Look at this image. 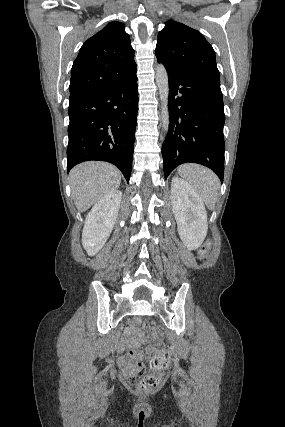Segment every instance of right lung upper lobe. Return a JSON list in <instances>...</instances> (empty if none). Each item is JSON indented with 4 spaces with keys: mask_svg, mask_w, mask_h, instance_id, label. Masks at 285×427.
I'll use <instances>...</instances> for the list:
<instances>
[{
    "mask_svg": "<svg viewBox=\"0 0 285 427\" xmlns=\"http://www.w3.org/2000/svg\"><path fill=\"white\" fill-rule=\"evenodd\" d=\"M136 75L134 50L121 22H111L81 47L71 69L70 98L104 90Z\"/></svg>",
    "mask_w": 285,
    "mask_h": 427,
    "instance_id": "right-lung-upper-lobe-1",
    "label": "right lung upper lobe"
}]
</instances>
